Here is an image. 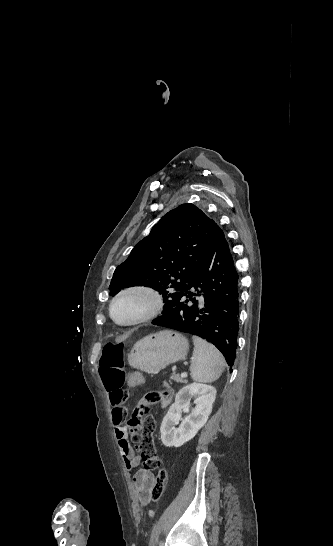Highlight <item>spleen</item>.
Returning a JSON list of instances; mask_svg holds the SVG:
<instances>
[{"label": "spleen", "mask_w": 333, "mask_h": 546, "mask_svg": "<svg viewBox=\"0 0 333 546\" xmlns=\"http://www.w3.org/2000/svg\"><path fill=\"white\" fill-rule=\"evenodd\" d=\"M194 342L193 358L190 365V374L194 381L211 383L216 381L225 367L222 354L207 341L192 337Z\"/></svg>", "instance_id": "obj_1"}]
</instances>
